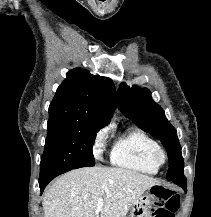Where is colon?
<instances>
[{"instance_id":"colon-1","label":"colon","mask_w":211,"mask_h":217,"mask_svg":"<svg viewBox=\"0 0 211 217\" xmlns=\"http://www.w3.org/2000/svg\"><path fill=\"white\" fill-rule=\"evenodd\" d=\"M154 194L156 208L153 211V217H175L180 207L178 194L163 186H157Z\"/></svg>"}]
</instances>
